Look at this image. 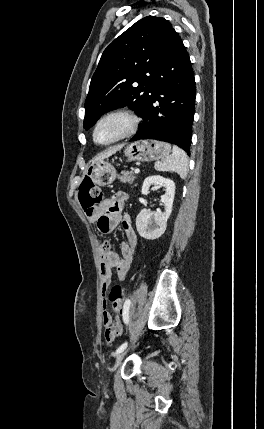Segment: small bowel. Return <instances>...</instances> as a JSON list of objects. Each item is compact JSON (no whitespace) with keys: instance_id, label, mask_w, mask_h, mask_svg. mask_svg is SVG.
Returning <instances> with one entry per match:
<instances>
[{"instance_id":"obj_1","label":"small bowel","mask_w":264,"mask_h":429,"mask_svg":"<svg viewBox=\"0 0 264 429\" xmlns=\"http://www.w3.org/2000/svg\"><path fill=\"white\" fill-rule=\"evenodd\" d=\"M126 200L127 194L120 191L105 199L91 213L85 212L88 220L96 224L100 232H112L121 224L126 235V241L120 245V256L112 249L108 241L100 240L98 242L104 308L102 322L108 342H113L123 331L119 318L114 317L107 309V291L111 282V272L115 270L118 279L123 281L138 248V238L130 219L123 217L120 213Z\"/></svg>"}]
</instances>
